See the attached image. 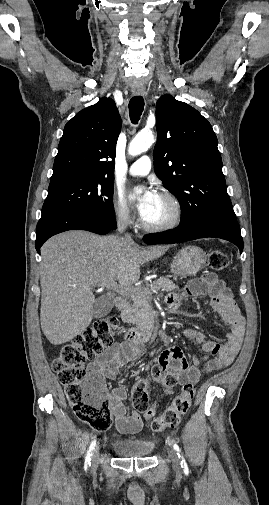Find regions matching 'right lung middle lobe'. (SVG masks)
<instances>
[{
	"label": "right lung middle lobe",
	"instance_id": "obj_1",
	"mask_svg": "<svg viewBox=\"0 0 269 505\" xmlns=\"http://www.w3.org/2000/svg\"><path fill=\"white\" fill-rule=\"evenodd\" d=\"M114 180H91L49 188L42 214L68 210L116 228L113 211Z\"/></svg>",
	"mask_w": 269,
	"mask_h": 505
}]
</instances>
